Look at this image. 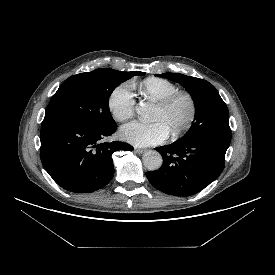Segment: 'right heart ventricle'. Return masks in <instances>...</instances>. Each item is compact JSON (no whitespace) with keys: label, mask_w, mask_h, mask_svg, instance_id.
I'll list each match as a JSON object with an SVG mask.
<instances>
[{"label":"right heart ventricle","mask_w":275,"mask_h":275,"mask_svg":"<svg viewBox=\"0 0 275 275\" xmlns=\"http://www.w3.org/2000/svg\"><path fill=\"white\" fill-rule=\"evenodd\" d=\"M179 88L173 82L159 77H148L141 84V95L144 99L158 103L167 96L178 91Z\"/></svg>","instance_id":"obj_1"}]
</instances>
